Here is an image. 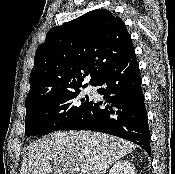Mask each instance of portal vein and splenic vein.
<instances>
[{
  "label": "portal vein and splenic vein",
  "instance_id": "1",
  "mask_svg": "<svg viewBox=\"0 0 175 174\" xmlns=\"http://www.w3.org/2000/svg\"><path fill=\"white\" fill-rule=\"evenodd\" d=\"M81 172H82V174H86V166L85 165H81Z\"/></svg>",
  "mask_w": 175,
  "mask_h": 174
}]
</instances>
